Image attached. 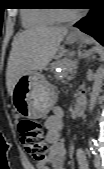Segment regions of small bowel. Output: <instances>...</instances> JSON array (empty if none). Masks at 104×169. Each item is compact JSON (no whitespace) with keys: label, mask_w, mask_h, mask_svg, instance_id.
I'll return each mask as SVG.
<instances>
[{"label":"small bowel","mask_w":104,"mask_h":169,"mask_svg":"<svg viewBox=\"0 0 104 169\" xmlns=\"http://www.w3.org/2000/svg\"><path fill=\"white\" fill-rule=\"evenodd\" d=\"M63 115L61 107H54L51 115L45 121L46 140L50 144V149L46 159L37 163L38 169H64L67 150L63 137ZM76 158L78 169H89L86 153L82 148L77 150Z\"/></svg>","instance_id":"1"}]
</instances>
